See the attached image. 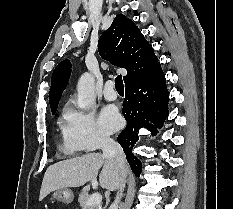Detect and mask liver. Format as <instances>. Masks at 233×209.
Returning <instances> with one entry per match:
<instances>
[{"label":"liver","instance_id":"obj_1","mask_svg":"<svg viewBox=\"0 0 233 209\" xmlns=\"http://www.w3.org/2000/svg\"><path fill=\"white\" fill-rule=\"evenodd\" d=\"M101 167L100 186L109 191L118 189L120 172L116 162L100 153H90L50 165L44 174L39 200L42 201L53 191L68 187H80L88 181L96 180ZM127 172L126 167V174Z\"/></svg>","mask_w":233,"mask_h":209}]
</instances>
